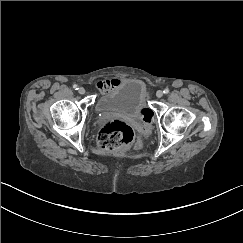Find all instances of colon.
Wrapping results in <instances>:
<instances>
[{
    "mask_svg": "<svg viewBox=\"0 0 243 243\" xmlns=\"http://www.w3.org/2000/svg\"><path fill=\"white\" fill-rule=\"evenodd\" d=\"M133 139L132 128L127 123L114 119L105 121L98 135L97 143L99 148L104 151H116L130 144Z\"/></svg>",
    "mask_w": 243,
    "mask_h": 243,
    "instance_id": "1",
    "label": "colon"
}]
</instances>
